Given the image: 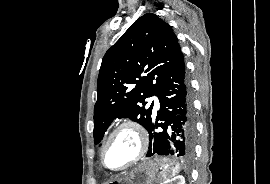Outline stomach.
<instances>
[{"label": "stomach", "mask_w": 270, "mask_h": 184, "mask_svg": "<svg viewBox=\"0 0 270 184\" xmlns=\"http://www.w3.org/2000/svg\"><path fill=\"white\" fill-rule=\"evenodd\" d=\"M179 165L169 159L155 161H144L132 170L124 173L112 181V184H153L155 181L163 180V173L167 176L172 174Z\"/></svg>", "instance_id": "obj_1"}]
</instances>
